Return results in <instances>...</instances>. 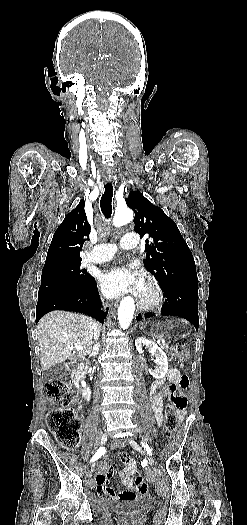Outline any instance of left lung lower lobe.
I'll list each match as a JSON object with an SVG mask.
<instances>
[{
    "mask_svg": "<svg viewBox=\"0 0 247 525\" xmlns=\"http://www.w3.org/2000/svg\"><path fill=\"white\" fill-rule=\"evenodd\" d=\"M166 300L163 304L161 315L178 316L188 319L198 329V288L194 287H176L163 288ZM154 316V314H145V318ZM141 315L137 317V320Z\"/></svg>",
    "mask_w": 247,
    "mask_h": 525,
    "instance_id": "left-lung-lower-lobe-1",
    "label": "left lung lower lobe"
}]
</instances>
